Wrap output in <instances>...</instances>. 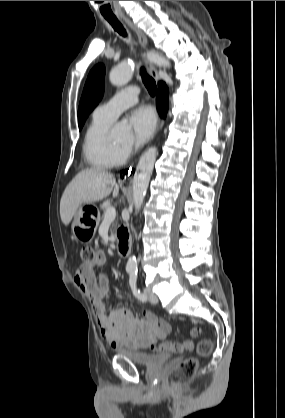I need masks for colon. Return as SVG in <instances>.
<instances>
[{"mask_svg":"<svg viewBox=\"0 0 285 418\" xmlns=\"http://www.w3.org/2000/svg\"><path fill=\"white\" fill-rule=\"evenodd\" d=\"M80 256L83 262L92 263L97 252L92 247H84L80 251ZM201 334L200 328H193L191 335L198 337ZM190 340L185 341H164L159 343L154 349L162 352L180 353L190 348ZM213 349V341L210 338L201 339L197 345V356L190 357L176 365L168 374L165 380L167 388H173L188 383L195 375L201 359L207 357Z\"/></svg>","mask_w":285,"mask_h":418,"instance_id":"obj_1","label":"colon"}]
</instances>
